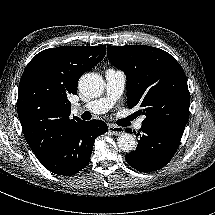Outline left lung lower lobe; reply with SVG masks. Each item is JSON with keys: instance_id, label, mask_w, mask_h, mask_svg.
<instances>
[{"instance_id": "1", "label": "left lung lower lobe", "mask_w": 215, "mask_h": 215, "mask_svg": "<svg viewBox=\"0 0 215 215\" xmlns=\"http://www.w3.org/2000/svg\"><path fill=\"white\" fill-rule=\"evenodd\" d=\"M182 124H142L136 150L125 156L127 163L141 172L163 168L176 153L184 128ZM127 132H132L126 129Z\"/></svg>"}]
</instances>
